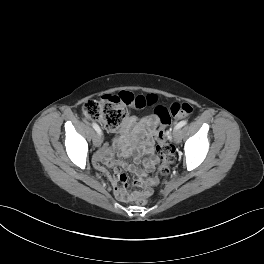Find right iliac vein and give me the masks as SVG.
Instances as JSON below:
<instances>
[{
	"label": "right iliac vein",
	"mask_w": 264,
	"mask_h": 264,
	"mask_svg": "<svg viewBox=\"0 0 264 264\" xmlns=\"http://www.w3.org/2000/svg\"><path fill=\"white\" fill-rule=\"evenodd\" d=\"M101 143H102V137L100 136V134L95 135L94 137L95 146L99 147Z\"/></svg>",
	"instance_id": "1"
}]
</instances>
